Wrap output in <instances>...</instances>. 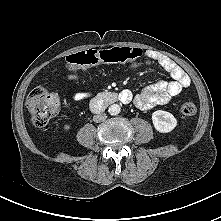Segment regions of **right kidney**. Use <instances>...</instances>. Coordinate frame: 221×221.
<instances>
[{
    "instance_id": "1",
    "label": "right kidney",
    "mask_w": 221,
    "mask_h": 221,
    "mask_svg": "<svg viewBox=\"0 0 221 221\" xmlns=\"http://www.w3.org/2000/svg\"><path fill=\"white\" fill-rule=\"evenodd\" d=\"M63 128H64L65 131H69V129H70V125L65 124Z\"/></svg>"
}]
</instances>
